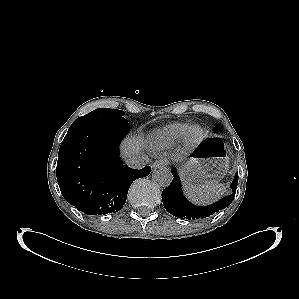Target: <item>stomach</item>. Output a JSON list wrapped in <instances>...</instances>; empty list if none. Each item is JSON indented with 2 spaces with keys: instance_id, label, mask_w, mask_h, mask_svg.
I'll return each mask as SVG.
<instances>
[{
  "instance_id": "1",
  "label": "stomach",
  "mask_w": 299,
  "mask_h": 299,
  "mask_svg": "<svg viewBox=\"0 0 299 299\" xmlns=\"http://www.w3.org/2000/svg\"><path fill=\"white\" fill-rule=\"evenodd\" d=\"M228 168L229 159L223 142L219 138H211L181 165L180 174L185 184L198 186L222 178Z\"/></svg>"
}]
</instances>
